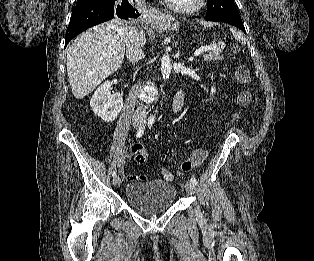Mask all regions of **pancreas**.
Segmentation results:
<instances>
[{"label":"pancreas","instance_id":"cf45deb5","mask_svg":"<svg viewBox=\"0 0 314 261\" xmlns=\"http://www.w3.org/2000/svg\"><path fill=\"white\" fill-rule=\"evenodd\" d=\"M225 47L226 44L224 42H219L214 49L204 55V61L210 62L219 60L221 58L220 54Z\"/></svg>","mask_w":314,"mask_h":261}]
</instances>
